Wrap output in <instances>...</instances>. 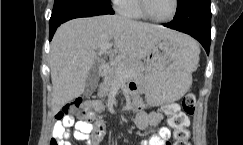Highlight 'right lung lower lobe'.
Here are the masks:
<instances>
[{"label":"right lung lower lobe","instance_id":"1","mask_svg":"<svg viewBox=\"0 0 243 145\" xmlns=\"http://www.w3.org/2000/svg\"><path fill=\"white\" fill-rule=\"evenodd\" d=\"M105 14H114L110 0H55L49 21V40L57 27L68 20Z\"/></svg>","mask_w":243,"mask_h":145}]
</instances>
